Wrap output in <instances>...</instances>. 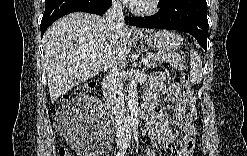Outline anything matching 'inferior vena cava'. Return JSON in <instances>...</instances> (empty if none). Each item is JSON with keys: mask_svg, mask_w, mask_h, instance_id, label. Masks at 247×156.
Instances as JSON below:
<instances>
[{"mask_svg": "<svg viewBox=\"0 0 247 156\" xmlns=\"http://www.w3.org/2000/svg\"><path fill=\"white\" fill-rule=\"evenodd\" d=\"M107 28L111 31H118L124 26L123 7L120 1H113L112 6L106 12L105 18ZM108 92L109 105L114 115L117 136L122 138L126 132V109L123 96V83L118 69V64L108 66Z\"/></svg>", "mask_w": 247, "mask_h": 156, "instance_id": "inferior-vena-cava-1", "label": "inferior vena cava"}]
</instances>
